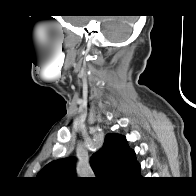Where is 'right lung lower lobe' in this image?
Masks as SVG:
<instances>
[{
	"mask_svg": "<svg viewBox=\"0 0 196 196\" xmlns=\"http://www.w3.org/2000/svg\"><path fill=\"white\" fill-rule=\"evenodd\" d=\"M136 178H140V175H139V176H137Z\"/></svg>",
	"mask_w": 196,
	"mask_h": 196,
	"instance_id": "obj_1",
	"label": "right lung lower lobe"
}]
</instances>
